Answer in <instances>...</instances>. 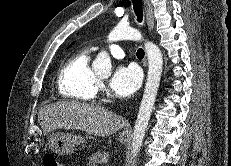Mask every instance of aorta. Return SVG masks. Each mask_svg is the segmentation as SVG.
<instances>
[{"instance_id":"aorta-1","label":"aorta","mask_w":231,"mask_h":166,"mask_svg":"<svg viewBox=\"0 0 231 166\" xmlns=\"http://www.w3.org/2000/svg\"><path fill=\"white\" fill-rule=\"evenodd\" d=\"M142 39V35L137 29L122 23H119L108 35L109 42L119 40L140 41ZM144 47L148 57L149 69L143 99L141 101L132 136V166H136V159L141 150L145 132L150 120L163 68V58L158 46L153 42L145 41ZM92 67L96 74L103 77L110 76L112 64L109 54L106 51L99 52Z\"/></svg>"}]
</instances>
